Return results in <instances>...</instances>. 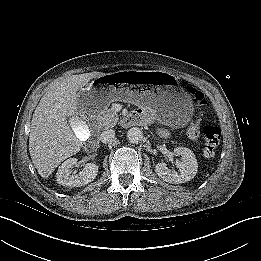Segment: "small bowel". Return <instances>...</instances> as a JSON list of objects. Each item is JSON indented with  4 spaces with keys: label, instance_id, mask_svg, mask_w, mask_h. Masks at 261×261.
<instances>
[{
    "label": "small bowel",
    "instance_id": "obj_1",
    "mask_svg": "<svg viewBox=\"0 0 261 261\" xmlns=\"http://www.w3.org/2000/svg\"><path fill=\"white\" fill-rule=\"evenodd\" d=\"M146 120V114L143 110H136L131 114L130 123L135 124ZM160 135L166 136L168 133L165 129H160Z\"/></svg>",
    "mask_w": 261,
    "mask_h": 261
}]
</instances>
